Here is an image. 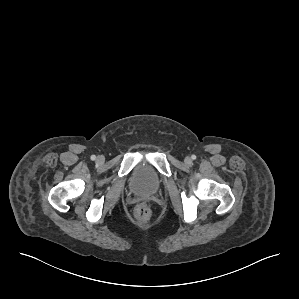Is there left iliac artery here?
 Masks as SVG:
<instances>
[{
    "mask_svg": "<svg viewBox=\"0 0 299 299\" xmlns=\"http://www.w3.org/2000/svg\"><path fill=\"white\" fill-rule=\"evenodd\" d=\"M195 158H196V156H195V155H193V156H192V159H195Z\"/></svg>",
    "mask_w": 299,
    "mask_h": 299,
    "instance_id": "left-iliac-artery-1",
    "label": "left iliac artery"
}]
</instances>
